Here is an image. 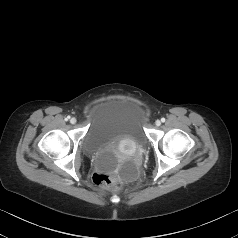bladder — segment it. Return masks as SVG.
Listing matches in <instances>:
<instances>
[{
	"mask_svg": "<svg viewBox=\"0 0 238 238\" xmlns=\"http://www.w3.org/2000/svg\"><path fill=\"white\" fill-rule=\"evenodd\" d=\"M146 120L145 106L135 99L100 100L85 112L86 133L82 149L96 168L110 170L116 164V148L120 143H129L136 148L145 146Z\"/></svg>",
	"mask_w": 238,
	"mask_h": 238,
	"instance_id": "obj_1",
	"label": "bladder"
}]
</instances>
